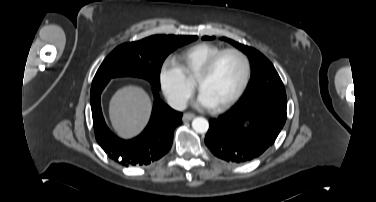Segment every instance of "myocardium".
Here are the masks:
<instances>
[{
    "instance_id": "f54148a6",
    "label": "myocardium",
    "mask_w": 376,
    "mask_h": 202,
    "mask_svg": "<svg viewBox=\"0 0 376 202\" xmlns=\"http://www.w3.org/2000/svg\"><path fill=\"white\" fill-rule=\"evenodd\" d=\"M226 54H234L241 59L243 66H244V73H243L241 84L239 88L237 89V91L227 101H225L224 103L218 106L213 107V109L217 112H221L230 108L241 97V95L244 93V91L246 90L248 86L250 76H251V62H250L249 57L243 51L239 49L226 48V49H222L221 51L217 52L215 55L210 57L205 62V64L201 67V69L199 70V72L197 73L194 79L195 86L198 89H199V84L211 74L212 70L214 69L219 59Z\"/></svg>"
}]
</instances>
